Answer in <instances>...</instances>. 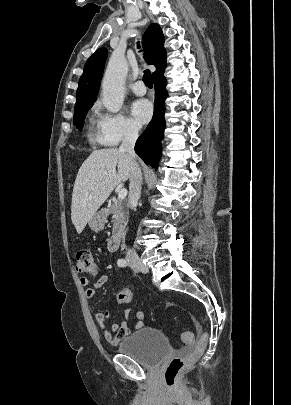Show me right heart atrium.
I'll use <instances>...</instances> for the list:
<instances>
[{
    "instance_id": "1",
    "label": "right heart atrium",
    "mask_w": 291,
    "mask_h": 405,
    "mask_svg": "<svg viewBox=\"0 0 291 405\" xmlns=\"http://www.w3.org/2000/svg\"><path fill=\"white\" fill-rule=\"evenodd\" d=\"M139 126L122 113L99 111L96 120V140L100 145L115 147L123 141L136 139Z\"/></svg>"
}]
</instances>
